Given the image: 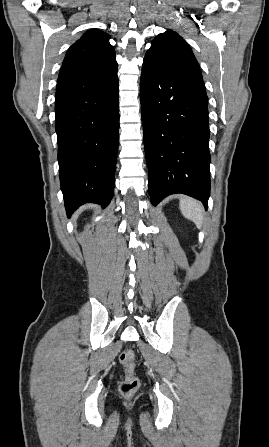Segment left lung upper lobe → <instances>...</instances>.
<instances>
[{"label":"left lung upper lobe","mask_w":269,"mask_h":447,"mask_svg":"<svg viewBox=\"0 0 269 447\" xmlns=\"http://www.w3.org/2000/svg\"><path fill=\"white\" fill-rule=\"evenodd\" d=\"M147 54L162 62L189 70L202 77L199 64L189 45L177 33L169 30L154 38Z\"/></svg>","instance_id":"5c2ea615"}]
</instances>
